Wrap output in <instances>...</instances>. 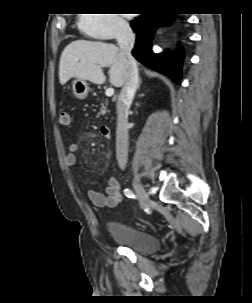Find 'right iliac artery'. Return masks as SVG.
<instances>
[{
    "label": "right iliac artery",
    "instance_id": "82829eb1",
    "mask_svg": "<svg viewBox=\"0 0 252 303\" xmlns=\"http://www.w3.org/2000/svg\"><path fill=\"white\" fill-rule=\"evenodd\" d=\"M124 194L128 198H136V195L130 189H124Z\"/></svg>",
    "mask_w": 252,
    "mask_h": 303
}]
</instances>
